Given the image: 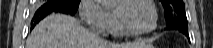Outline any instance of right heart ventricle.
I'll return each instance as SVG.
<instances>
[{"label": "right heart ventricle", "instance_id": "1", "mask_svg": "<svg viewBox=\"0 0 213 48\" xmlns=\"http://www.w3.org/2000/svg\"><path fill=\"white\" fill-rule=\"evenodd\" d=\"M113 14V20L109 26V32L114 35L115 37H123L126 34L122 31V29L120 28L116 16L114 13Z\"/></svg>", "mask_w": 213, "mask_h": 48}]
</instances>
